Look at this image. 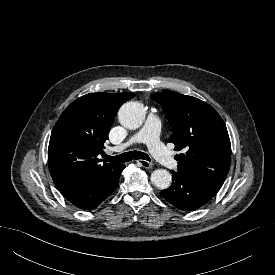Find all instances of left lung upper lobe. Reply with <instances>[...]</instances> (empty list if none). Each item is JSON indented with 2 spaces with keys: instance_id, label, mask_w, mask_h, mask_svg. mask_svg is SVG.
<instances>
[{
  "instance_id": "5c2ea615",
  "label": "left lung upper lobe",
  "mask_w": 275,
  "mask_h": 275,
  "mask_svg": "<svg viewBox=\"0 0 275 275\" xmlns=\"http://www.w3.org/2000/svg\"><path fill=\"white\" fill-rule=\"evenodd\" d=\"M151 98L162 105L173 134L178 172L222 185L230 167L231 144L225 123L209 104L172 91Z\"/></svg>"
}]
</instances>
